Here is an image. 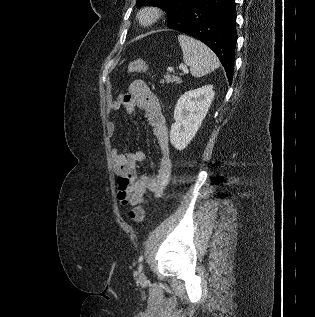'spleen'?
<instances>
[{
    "label": "spleen",
    "mask_w": 315,
    "mask_h": 317,
    "mask_svg": "<svg viewBox=\"0 0 315 317\" xmlns=\"http://www.w3.org/2000/svg\"><path fill=\"white\" fill-rule=\"evenodd\" d=\"M178 41L183 61L190 67L193 77H202L219 67L220 62L215 53L201 41L187 35H179Z\"/></svg>",
    "instance_id": "obj_1"
}]
</instances>
